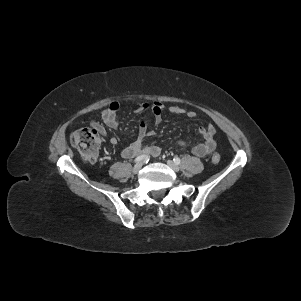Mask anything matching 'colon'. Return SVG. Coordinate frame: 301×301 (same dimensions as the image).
Segmentation results:
<instances>
[{"label":"colon","instance_id":"colon-1","mask_svg":"<svg viewBox=\"0 0 301 301\" xmlns=\"http://www.w3.org/2000/svg\"><path fill=\"white\" fill-rule=\"evenodd\" d=\"M99 143V135L94 128H79L71 135V144L80 152L83 159L88 162L97 160ZM211 160L214 164H218L221 160L220 154L218 152L213 153Z\"/></svg>","mask_w":301,"mask_h":301}]
</instances>
